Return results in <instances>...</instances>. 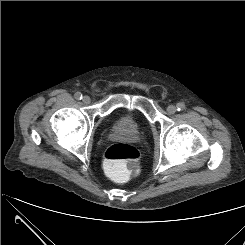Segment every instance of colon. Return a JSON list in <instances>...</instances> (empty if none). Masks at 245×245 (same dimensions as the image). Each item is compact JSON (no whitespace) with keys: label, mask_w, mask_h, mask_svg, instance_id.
<instances>
[{"label":"colon","mask_w":245,"mask_h":245,"mask_svg":"<svg viewBox=\"0 0 245 245\" xmlns=\"http://www.w3.org/2000/svg\"><path fill=\"white\" fill-rule=\"evenodd\" d=\"M139 158L140 151L137 147L126 143H115L105 151L104 166L112 180L123 182L129 173L130 166Z\"/></svg>","instance_id":"obj_1"}]
</instances>
